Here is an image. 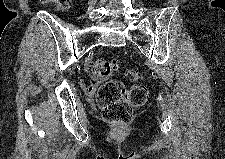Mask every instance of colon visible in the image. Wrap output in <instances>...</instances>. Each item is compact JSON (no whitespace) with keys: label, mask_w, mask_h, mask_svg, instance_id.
<instances>
[{"label":"colon","mask_w":225,"mask_h":159,"mask_svg":"<svg viewBox=\"0 0 225 159\" xmlns=\"http://www.w3.org/2000/svg\"><path fill=\"white\" fill-rule=\"evenodd\" d=\"M62 10L70 6L71 0H55ZM119 58L97 59L93 64V75L98 80H105L97 92V103L103 118L116 126L129 123L133 116V108L144 105L148 98L145 85L137 84L127 88L121 81L108 80L119 68ZM126 76L139 80L137 72L127 71Z\"/></svg>","instance_id":"1"}]
</instances>
